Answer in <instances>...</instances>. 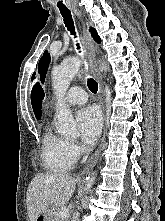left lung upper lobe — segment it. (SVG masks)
Segmentation results:
<instances>
[{
    "label": "left lung upper lobe",
    "mask_w": 165,
    "mask_h": 221,
    "mask_svg": "<svg viewBox=\"0 0 165 221\" xmlns=\"http://www.w3.org/2000/svg\"><path fill=\"white\" fill-rule=\"evenodd\" d=\"M91 34L97 43L101 42V39L97 35L96 30L91 29ZM49 61H50V55L47 51H45L38 65V70H39L40 78L42 82H44L45 74L49 65ZM43 97H44L43 89L40 87L39 84H36L31 93V101H32L33 111L38 120L41 118V107H42Z\"/></svg>",
    "instance_id": "left-lung-upper-lobe-1"
}]
</instances>
